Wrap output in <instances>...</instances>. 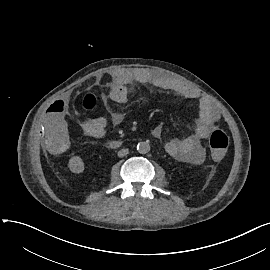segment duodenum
<instances>
[{
  "mask_svg": "<svg viewBox=\"0 0 270 270\" xmlns=\"http://www.w3.org/2000/svg\"><path fill=\"white\" fill-rule=\"evenodd\" d=\"M120 145H121V142L120 141H111L109 143V146L112 147V148L118 147Z\"/></svg>",
  "mask_w": 270,
  "mask_h": 270,
  "instance_id": "duodenum-1",
  "label": "duodenum"
}]
</instances>
